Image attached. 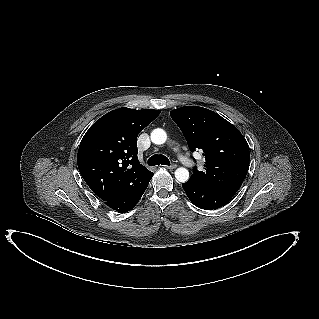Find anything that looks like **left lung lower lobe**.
Listing matches in <instances>:
<instances>
[{"label": "left lung lower lobe", "instance_id": "0a47b994", "mask_svg": "<svg viewBox=\"0 0 319 319\" xmlns=\"http://www.w3.org/2000/svg\"><path fill=\"white\" fill-rule=\"evenodd\" d=\"M190 201L201 209H218L229 203L233 196L189 179L182 184Z\"/></svg>", "mask_w": 319, "mask_h": 319}]
</instances>
